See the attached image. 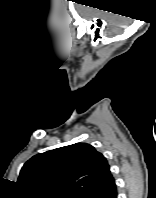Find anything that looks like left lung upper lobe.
<instances>
[{
    "label": "left lung upper lobe",
    "mask_w": 156,
    "mask_h": 198,
    "mask_svg": "<svg viewBox=\"0 0 156 198\" xmlns=\"http://www.w3.org/2000/svg\"><path fill=\"white\" fill-rule=\"evenodd\" d=\"M110 176L100 152L90 144L75 143L33 156L17 182L28 198H87Z\"/></svg>",
    "instance_id": "left-lung-upper-lobe-1"
}]
</instances>
